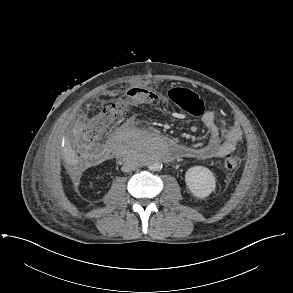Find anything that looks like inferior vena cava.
Wrapping results in <instances>:
<instances>
[{
  "label": "inferior vena cava",
  "instance_id": "obj_1",
  "mask_svg": "<svg viewBox=\"0 0 293 293\" xmlns=\"http://www.w3.org/2000/svg\"><path fill=\"white\" fill-rule=\"evenodd\" d=\"M134 169H135V165L129 162L124 163L121 168L123 172H130V171H133Z\"/></svg>",
  "mask_w": 293,
  "mask_h": 293
}]
</instances>
